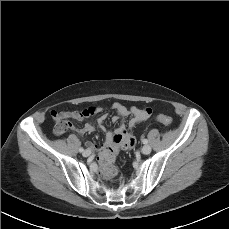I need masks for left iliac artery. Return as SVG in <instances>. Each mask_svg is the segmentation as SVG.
<instances>
[{
	"label": "left iliac artery",
	"instance_id": "left-iliac-artery-1",
	"mask_svg": "<svg viewBox=\"0 0 229 229\" xmlns=\"http://www.w3.org/2000/svg\"><path fill=\"white\" fill-rule=\"evenodd\" d=\"M142 142L144 143V144H147L148 143V140L147 139H142Z\"/></svg>",
	"mask_w": 229,
	"mask_h": 229
}]
</instances>
